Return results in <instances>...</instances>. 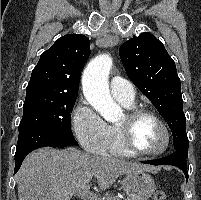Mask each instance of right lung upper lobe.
<instances>
[{
	"mask_svg": "<svg viewBox=\"0 0 201 200\" xmlns=\"http://www.w3.org/2000/svg\"><path fill=\"white\" fill-rule=\"evenodd\" d=\"M89 55L86 36L67 34L59 38L40 56L26 93L47 91L77 96L81 71Z\"/></svg>",
	"mask_w": 201,
	"mask_h": 200,
	"instance_id": "right-lung-upper-lobe-1",
	"label": "right lung upper lobe"
}]
</instances>
